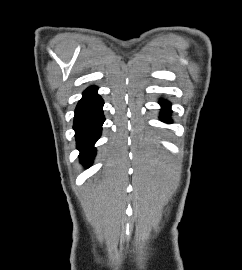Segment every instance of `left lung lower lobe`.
<instances>
[{
  "label": "left lung lower lobe",
  "instance_id": "left-lung-lower-lobe-1",
  "mask_svg": "<svg viewBox=\"0 0 242 270\" xmlns=\"http://www.w3.org/2000/svg\"><path fill=\"white\" fill-rule=\"evenodd\" d=\"M160 104L162 105V113H161V119L164 122H170L169 115H170V103L166 101H161Z\"/></svg>",
  "mask_w": 242,
  "mask_h": 270
}]
</instances>
